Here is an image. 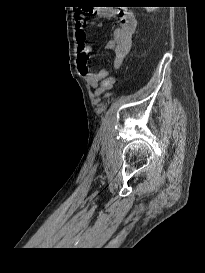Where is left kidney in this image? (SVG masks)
I'll list each match as a JSON object with an SVG mask.
<instances>
[{
  "label": "left kidney",
  "mask_w": 205,
  "mask_h": 273,
  "mask_svg": "<svg viewBox=\"0 0 205 273\" xmlns=\"http://www.w3.org/2000/svg\"><path fill=\"white\" fill-rule=\"evenodd\" d=\"M146 9H147L148 12H152L154 7H146Z\"/></svg>",
  "instance_id": "5707ae66"
}]
</instances>
